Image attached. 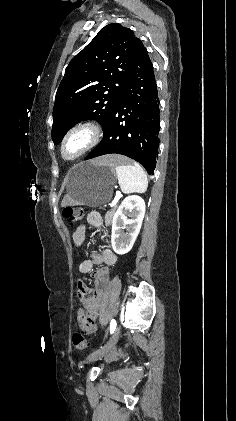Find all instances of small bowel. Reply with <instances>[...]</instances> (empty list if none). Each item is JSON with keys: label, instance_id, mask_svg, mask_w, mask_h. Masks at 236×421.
<instances>
[{"label": "small bowel", "instance_id": "c3829d8e", "mask_svg": "<svg viewBox=\"0 0 236 421\" xmlns=\"http://www.w3.org/2000/svg\"><path fill=\"white\" fill-rule=\"evenodd\" d=\"M87 221L90 225L97 228L99 231L101 230L102 217H101L100 213L91 212L87 217ZM73 239H74V242L76 243V245H81L83 243V241L85 239V226L84 225L78 227V229L75 231V233L73 235ZM86 267L87 266H85V269H86ZM81 288L83 290H81ZM86 291H87V287L83 283H79L78 284V290H77L78 296L80 298H83ZM82 319H83L82 314L79 312V321H81ZM81 324L84 325L83 323H81Z\"/></svg>", "mask_w": 236, "mask_h": 421}]
</instances>
